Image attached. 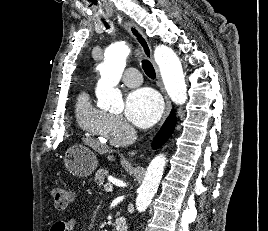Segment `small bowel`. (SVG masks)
Wrapping results in <instances>:
<instances>
[{
    "label": "small bowel",
    "instance_id": "1",
    "mask_svg": "<svg viewBox=\"0 0 268 231\" xmlns=\"http://www.w3.org/2000/svg\"><path fill=\"white\" fill-rule=\"evenodd\" d=\"M77 218L71 217V218H60L57 221L54 222V224L51 226V231H75L77 228Z\"/></svg>",
    "mask_w": 268,
    "mask_h": 231
}]
</instances>
